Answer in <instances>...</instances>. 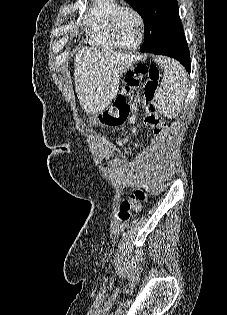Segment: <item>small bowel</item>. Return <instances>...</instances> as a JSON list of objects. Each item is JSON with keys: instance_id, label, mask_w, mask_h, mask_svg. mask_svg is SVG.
<instances>
[{"instance_id": "c3829d8e", "label": "small bowel", "mask_w": 227, "mask_h": 315, "mask_svg": "<svg viewBox=\"0 0 227 315\" xmlns=\"http://www.w3.org/2000/svg\"><path fill=\"white\" fill-rule=\"evenodd\" d=\"M128 142V139H124L121 143L122 144H125V143H127ZM139 145L138 144H136V147H138Z\"/></svg>"}]
</instances>
